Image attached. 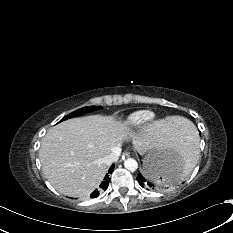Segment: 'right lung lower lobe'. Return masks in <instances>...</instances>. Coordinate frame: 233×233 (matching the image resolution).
Returning <instances> with one entry per match:
<instances>
[{
	"label": "right lung lower lobe",
	"mask_w": 233,
	"mask_h": 233,
	"mask_svg": "<svg viewBox=\"0 0 233 233\" xmlns=\"http://www.w3.org/2000/svg\"><path fill=\"white\" fill-rule=\"evenodd\" d=\"M113 169H114V164L110 167L108 174L112 173ZM108 174H106V176L104 177V180L101 182L99 188L91 193L90 197L95 198V197L99 196L100 192H102L103 190H106L108 188L109 181H110Z\"/></svg>",
	"instance_id": "right-lung-lower-lobe-1"
}]
</instances>
